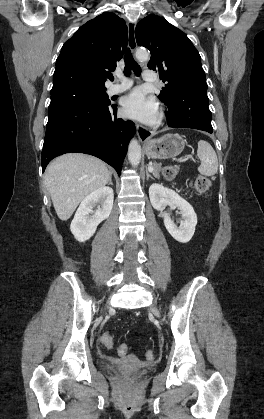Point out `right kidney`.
Instances as JSON below:
<instances>
[{
	"mask_svg": "<svg viewBox=\"0 0 264 419\" xmlns=\"http://www.w3.org/2000/svg\"><path fill=\"white\" fill-rule=\"evenodd\" d=\"M114 193L110 187H101L86 196L77 209L71 222V232L75 239L84 242L95 233L97 226L111 213ZM100 204L101 208L93 211Z\"/></svg>",
	"mask_w": 264,
	"mask_h": 419,
	"instance_id": "right-kidney-1",
	"label": "right kidney"
}]
</instances>
